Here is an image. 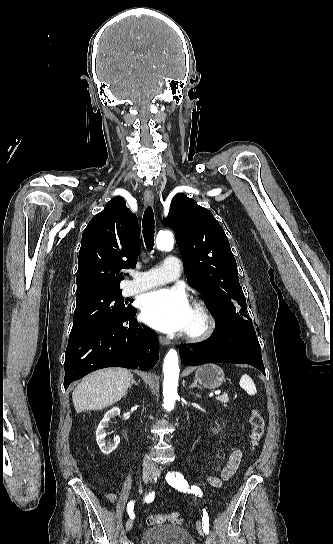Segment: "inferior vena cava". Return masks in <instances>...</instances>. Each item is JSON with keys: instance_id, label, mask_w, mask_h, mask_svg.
<instances>
[{"instance_id": "1", "label": "inferior vena cava", "mask_w": 333, "mask_h": 544, "mask_svg": "<svg viewBox=\"0 0 333 544\" xmlns=\"http://www.w3.org/2000/svg\"><path fill=\"white\" fill-rule=\"evenodd\" d=\"M143 467L144 468H154V464L153 462L151 461L150 457L149 456H145L144 460H143Z\"/></svg>"}]
</instances>
